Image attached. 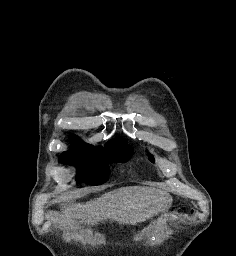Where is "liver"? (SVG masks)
I'll return each mask as SVG.
<instances>
[{
  "label": "liver",
  "mask_w": 236,
  "mask_h": 256,
  "mask_svg": "<svg viewBox=\"0 0 236 256\" xmlns=\"http://www.w3.org/2000/svg\"><path fill=\"white\" fill-rule=\"evenodd\" d=\"M170 202L171 198L167 192L145 186H130L113 190L85 204L65 206L63 214L66 226L71 230L76 228L78 222L96 226L98 222L108 220L135 226L136 222H145L152 218L157 210L167 208Z\"/></svg>",
  "instance_id": "1"
}]
</instances>
